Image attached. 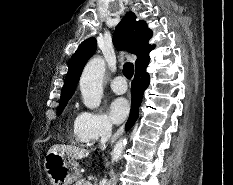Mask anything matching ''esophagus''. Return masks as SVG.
Instances as JSON below:
<instances>
[{
	"mask_svg": "<svg viewBox=\"0 0 233 185\" xmlns=\"http://www.w3.org/2000/svg\"><path fill=\"white\" fill-rule=\"evenodd\" d=\"M124 128H125V126H122V127L113 135V137H112L111 140H110V143H112L113 140H114L116 137H118V136L123 132Z\"/></svg>",
	"mask_w": 233,
	"mask_h": 185,
	"instance_id": "obj_1",
	"label": "esophagus"
}]
</instances>
